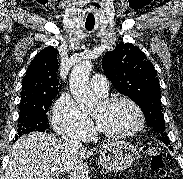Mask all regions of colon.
<instances>
[{
	"label": "colon",
	"instance_id": "1",
	"mask_svg": "<svg viewBox=\"0 0 183 179\" xmlns=\"http://www.w3.org/2000/svg\"><path fill=\"white\" fill-rule=\"evenodd\" d=\"M149 155V166L151 170L157 174L158 179H172L164 169V162L161 154L156 149H150Z\"/></svg>",
	"mask_w": 183,
	"mask_h": 179
}]
</instances>
